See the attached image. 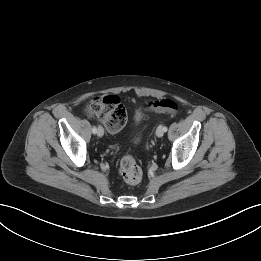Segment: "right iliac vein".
<instances>
[{
    "instance_id": "1",
    "label": "right iliac vein",
    "mask_w": 261,
    "mask_h": 261,
    "mask_svg": "<svg viewBox=\"0 0 261 261\" xmlns=\"http://www.w3.org/2000/svg\"><path fill=\"white\" fill-rule=\"evenodd\" d=\"M97 135L99 137H102L104 135V129L101 126H99L97 129Z\"/></svg>"
}]
</instances>
